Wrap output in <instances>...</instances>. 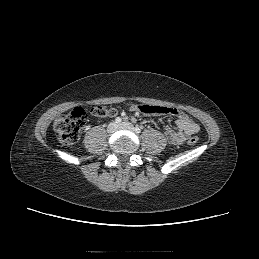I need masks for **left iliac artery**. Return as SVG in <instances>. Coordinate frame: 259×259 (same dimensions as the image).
I'll use <instances>...</instances> for the list:
<instances>
[{
	"label": "left iliac artery",
	"mask_w": 259,
	"mask_h": 259,
	"mask_svg": "<svg viewBox=\"0 0 259 259\" xmlns=\"http://www.w3.org/2000/svg\"><path fill=\"white\" fill-rule=\"evenodd\" d=\"M135 132L136 133H140L141 132V129L139 127H135Z\"/></svg>",
	"instance_id": "left-iliac-artery-1"
}]
</instances>
